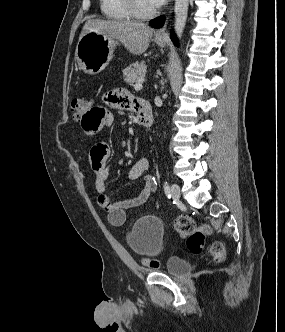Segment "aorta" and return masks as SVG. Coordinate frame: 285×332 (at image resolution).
Masks as SVG:
<instances>
[{"instance_id":"obj_1","label":"aorta","mask_w":285,"mask_h":332,"mask_svg":"<svg viewBox=\"0 0 285 332\" xmlns=\"http://www.w3.org/2000/svg\"><path fill=\"white\" fill-rule=\"evenodd\" d=\"M189 0H175V33L182 37L188 14Z\"/></svg>"}]
</instances>
